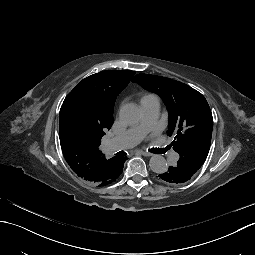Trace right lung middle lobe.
I'll return each instance as SVG.
<instances>
[{"instance_id": "1", "label": "right lung middle lobe", "mask_w": 255, "mask_h": 255, "mask_svg": "<svg viewBox=\"0 0 255 255\" xmlns=\"http://www.w3.org/2000/svg\"><path fill=\"white\" fill-rule=\"evenodd\" d=\"M60 144L61 146L93 145L101 141L102 128L70 118L67 110H60Z\"/></svg>"}]
</instances>
